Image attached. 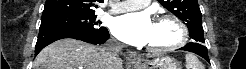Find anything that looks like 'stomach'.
Returning <instances> with one entry per match:
<instances>
[{"label":"stomach","mask_w":246,"mask_h":69,"mask_svg":"<svg viewBox=\"0 0 246 69\" xmlns=\"http://www.w3.org/2000/svg\"><path fill=\"white\" fill-rule=\"evenodd\" d=\"M134 69H181L173 59L167 56L157 57L153 60H142L132 64Z\"/></svg>","instance_id":"obj_1"}]
</instances>
